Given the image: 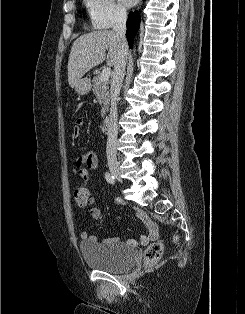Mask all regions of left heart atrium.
Instances as JSON below:
<instances>
[{"mask_svg":"<svg viewBox=\"0 0 245 314\" xmlns=\"http://www.w3.org/2000/svg\"><path fill=\"white\" fill-rule=\"evenodd\" d=\"M120 2L125 6H132L136 0H120Z\"/></svg>","mask_w":245,"mask_h":314,"instance_id":"left-heart-atrium-1","label":"left heart atrium"}]
</instances>
